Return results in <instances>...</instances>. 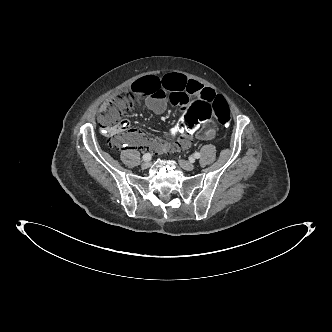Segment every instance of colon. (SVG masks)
<instances>
[{
	"label": "colon",
	"mask_w": 332,
	"mask_h": 332,
	"mask_svg": "<svg viewBox=\"0 0 332 332\" xmlns=\"http://www.w3.org/2000/svg\"><path fill=\"white\" fill-rule=\"evenodd\" d=\"M134 98L130 94H123L107 104L103 113L104 126L109 133V146L116 149L122 144L121 133L118 129L121 117L134 107ZM213 116L218 122L227 126L230 123V109L224 98L216 96L211 102L203 96H194L186 100L176 117L174 125L170 127L168 140L191 138L203 133Z\"/></svg>",
	"instance_id": "1"
}]
</instances>
